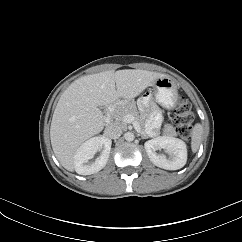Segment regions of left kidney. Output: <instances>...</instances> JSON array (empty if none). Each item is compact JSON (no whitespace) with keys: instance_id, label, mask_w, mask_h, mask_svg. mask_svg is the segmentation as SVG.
I'll return each instance as SVG.
<instances>
[{"instance_id":"5707ae66","label":"left kidney","mask_w":242,"mask_h":242,"mask_svg":"<svg viewBox=\"0 0 242 242\" xmlns=\"http://www.w3.org/2000/svg\"><path fill=\"white\" fill-rule=\"evenodd\" d=\"M144 147L150 161L157 167L166 170H178L186 163L187 147L181 139L160 136L145 142ZM161 149L168 153L170 157L167 158L164 154L157 153Z\"/></svg>"}]
</instances>
